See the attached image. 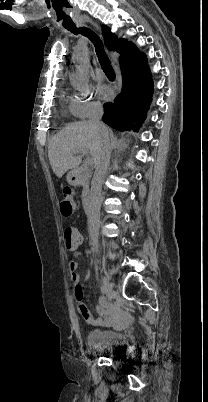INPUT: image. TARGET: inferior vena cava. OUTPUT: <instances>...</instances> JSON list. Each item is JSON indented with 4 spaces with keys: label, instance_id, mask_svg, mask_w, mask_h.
I'll use <instances>...</instances> for the list:
<instances>
[{
    "label": "inferior vena cava",
    "instance_id": "obj_1",
    "mask_svg": "<svg viewBox=\"0 0 208 402\" xmlns=\"http://www.w3.org/2000/svg\"><path fill=\"white\" fill-rule=\"evenodd\" d=\"M103 116V108L101 104H93L91 116L88 124H94L97 128H101L105 132L104 124L100 120ZM110 140H103L100 148L99 158L96 162V170L91 182L90 202L87 212L88 230L93 246H98L99 226H100V208L102 202L101 190L104 178L107 174L110 164Z\"/></svg>",
    "mask_w": 208,
    "mask_h": 402
}]
</instances>
